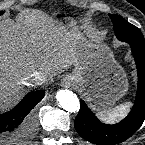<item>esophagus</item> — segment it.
<instances>
[{
  "label": "esophagus",
  "mask_w": 145,
  "mask_h": 145,
  "mask_svg": "<svg viewBox=\"0 0 145 145\" xmlns=\"http://www.w3.org/2000/svg\"><path fill=\"white\" fill-rule=\"evenodd\" d=\"M75 84L74 78L67 75L63 78L61 85L66 88H70Z\"/></svg>",
  "instance_id": "34e87169"
}]
</instances>
